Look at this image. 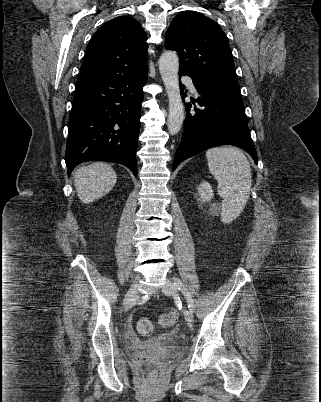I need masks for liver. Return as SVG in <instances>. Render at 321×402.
<instances>
[{"instance_id": "obj_1", "label": "liver", "mask_w": 321, "mask_h": 402, "mask_svg": "<svg viewBox=\"0 0 321 402\" xmlns=\"http://www.w3.org/2000/svg\"><path fill=\"white\" fill-rule=\"evenodd\" d=\"M117 175L114 169L103 162L80 167L74 176V185L79 199L91 203L109 193L115 186Z\"/></svg>"}]
</instances>
